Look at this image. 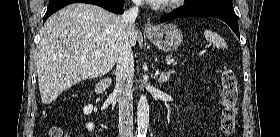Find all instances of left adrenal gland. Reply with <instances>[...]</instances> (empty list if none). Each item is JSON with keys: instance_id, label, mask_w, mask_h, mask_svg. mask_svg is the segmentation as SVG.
Returning a JSON list of instances; mask_svg holds the SVG:
<instances>
[{"instance_id": "1", "label": "left adrenal gland", "mask_w": 280, "mask_h": 137, "mask_svg": "<svg viewBox=\"0 0 280 137\" xmlns=\"http://www.w3.org/2000/svg\"><path fill=\"white\" fill-rule=\"evenodd\" d=\"M172 73H174V70H171V69H169V70L166 71V72H159L158 69H157V71H156V74H157V76H158V81H159L160 83H164V82L169 81L170 75H171Z\"/></svg>"}]
</instances>
